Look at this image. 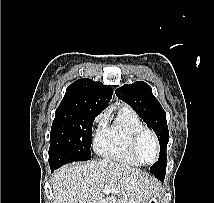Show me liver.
Instances as JSON below:
<instances>
[{
  "instance_id": "6515ba94",
  "label": "liver",
  "mask_w": 214,
  "mask_h": 203,
  "mask_svg": "<svg viewBox=\"0 0 214 203\" xmlns=\"http://www.w3.org/2000/svg\"><path fill=\"white\" fill-rule=\"evenodd\" d=\"M105 185L112 191L105 192ZM52 189L53 203H147L158 194L159 184L132 166L101 160L62 166Z\"/></svg>"
}]
</instances>
